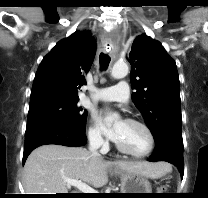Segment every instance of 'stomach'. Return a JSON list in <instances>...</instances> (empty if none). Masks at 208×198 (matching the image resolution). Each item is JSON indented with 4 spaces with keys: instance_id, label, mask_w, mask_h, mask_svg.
Here are the masks:
<instances>
[{
    "instance_id": "1",
    "label": "stomach",
    "mask_w": 208,
    "mask_h": 198,
    "mask_svg": "<svg viewBox=\"0 0 208 198\" xmlns=\"http://www.w3.org/2000/svg\"><path fill=\"white\" fill-rule=\"evenodd\" d=\"M151 184L147 177L136 173L121 174V192L120 193H151ZM125 197H145L144 194H124Z\"/></svg>"
}]
</instances>
